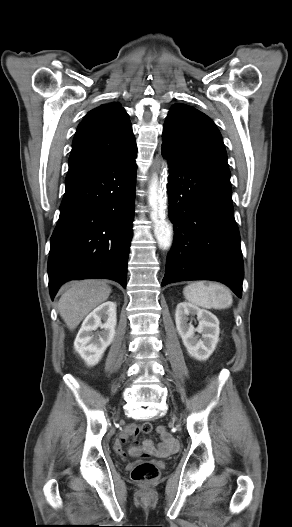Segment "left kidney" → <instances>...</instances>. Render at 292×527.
<instances>
[{
  "mask_svg": "<svg viewBox=\"0 0 292 527\" xmlns=\"http://www.w3.org/2000/svg\"><path fill=\"white\" fill-rule=\"evenodd\" d=\"M197 316V328L189 324L188 316ZM178 334L182 338L189 355L199 361L207 360L219 341V321L210 311L200 309L190 303H179L175 311ZM202 334V338L195 333Z\"/></svg>",
  "mask_w": 292,
  "mask_h": 527,
  "instance_id": "1",
  "label": "left kidney"
}]
</instances>
